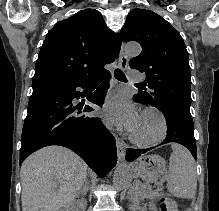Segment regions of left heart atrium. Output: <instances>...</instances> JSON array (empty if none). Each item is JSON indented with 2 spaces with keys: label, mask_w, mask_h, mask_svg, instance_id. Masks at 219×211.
Listing matches in <instances>:
<instances>
[{
  "label": "left heart atrium",
  "mask_w": 219,
  "mask_h": 211,
  "mask_svg": "<svg viewBox=\"0 0 219 211\" xmlns=\"http://www.w3.org/2000/svg\"><path fill=\"white\" fill-rule=\"evenodd\" d=\"M107 125H116L133 131L139 116L135 106L124 96H117L107 102L101 111Z\"/></svg>",
  "instance_id": "39dd6f15"
}]
</instances>
